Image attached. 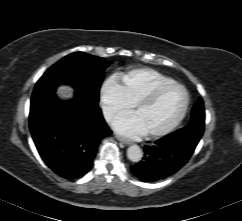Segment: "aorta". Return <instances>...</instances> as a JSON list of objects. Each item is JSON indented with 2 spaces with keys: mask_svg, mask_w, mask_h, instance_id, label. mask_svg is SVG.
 <instances>
[{
  "mask_svg": "<svg viewBox=\"0 0 242 221\" xmlns=\"http://www.w3.org/2000/svg\"><path fill=\"white\" fill-rule=\"evenodd\" d=\"M127 156L132 162H139L143 157V152L138 145H132L127 149Z\"/></svg>",
  "mask_w": 242,
  "mask_h": 221,
  "instance_id": "762f6f07",
  "label": "aorta"
}]
</instances>
